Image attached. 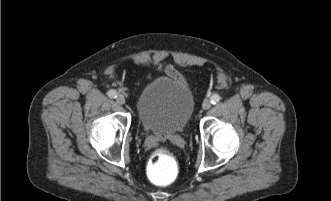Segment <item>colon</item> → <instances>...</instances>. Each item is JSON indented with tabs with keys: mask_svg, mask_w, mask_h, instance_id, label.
I'll list each match as a JSON object with an SVG mask.
<instances>
[{
	"mask_svg": "<svg viewBox=\"0 0 331 201\" xmlns=\"http://www.w3.org/2000/svg\"><path fill=\"white\" fill-rule=\"evenodd\" d=\"M147 174L156 185L171 184L178 174V164L174 155L166 149L155 151L148 161Z\"/></svg>",
	"mask_w": 331,
	"mask_h": 201,
	"instance_id": "colon-1",
	"label": "colon"
}]
</instances>
